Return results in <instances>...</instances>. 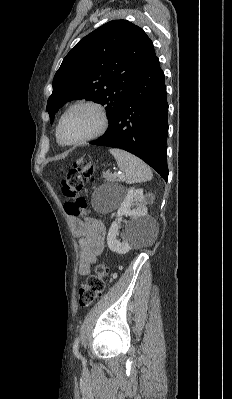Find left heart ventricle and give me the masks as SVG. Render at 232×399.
<instances>
[{"label":"left heart ventricle","instance_id":"b2bd125f","mask_svg":"<svg viewBox=\"0 0 232 399\" xmlns=\"http://www.w3.org/2000/svg\"><path fill=\"white\" fill-rule=\"evenodd\" d=\"M98 112L88 106L72 109L62 123V134L70 141L83 139L92 134L99 126Z\"/></svg>","mask_w":232,"mask_h":399}]
</instances>
